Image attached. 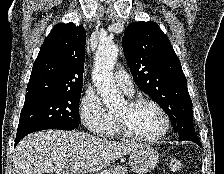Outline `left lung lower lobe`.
<instances>
[{"label":"left lung lower lobe","mask_w":224,"mask_h":174,"mask_svg":"<svg viewBox=\"0 0 224 174\" xmlns=\"http://www.w3.org/2000/svg\"><path fill=\"white\" fill-rule=\"evenodd\" d=\"M177 133L179 135V140H189L201 146V143L197 137L194 127L192 126L184 127L180 129Z\"/></svg>","instance_id":"obj_1"}]
</instances>
